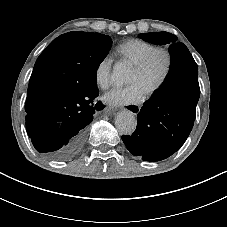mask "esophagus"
<instances>
[{"label": "esophagus", "mask_w": 227, "mask_h": 227, "mask_svg": "<svg viewBox=\"0 0 227 227\" xmlns=\"http://www.w3.org/2000/svg\"><path fill=\"white\" fill-rule=\"evenodd\" d=\"M123 109L127 112H131L134 115H137L140 112L141 107L138 105H132L130 103H124L123 104Z\"/></svg>", "instance_id": "34e87169"}]
</instances>
